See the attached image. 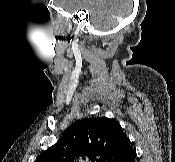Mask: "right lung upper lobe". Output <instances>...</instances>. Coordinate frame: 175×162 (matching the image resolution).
<instances>
[{
  "mask_svg": "<svg viewBox=\"0 0 175 162\" xmlns=\"http://www.w3.org/2000/svg\"><path fill=\"white\" fill-rule=\"evenodd\" d=\"M130 147L117 121L91 117L72 124L35 162H73L78 156L88 162H112Z\"/></svg>",
  "mask_w": 175,
  "mask_h": 162,
  "instance_id": "obj_1",
  "label": "right lung upper lobe"
}]
</instances>
